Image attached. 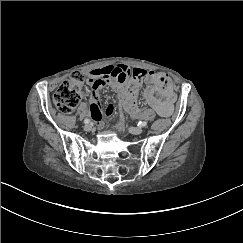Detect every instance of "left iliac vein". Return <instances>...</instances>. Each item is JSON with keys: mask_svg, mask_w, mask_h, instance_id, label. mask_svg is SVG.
I'll return each instance as SVG.
<instances>
[{"mask_svg": "<svg viewBox=\"0 0 243 243\" xmlns=\"http://www.w3.org/2000/svg\"><path fill=\"white\" fill-rule=\"evenodd\" d=\"M130 132L132 134L138 135L143 132V129L141 127H132V128H130Z\"/></svg>", "mask_w": 243, "mask_h": 243, "instance_id": "4c4485c4", "label": "left iliac vein"}]
</instances>
